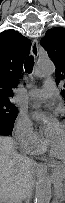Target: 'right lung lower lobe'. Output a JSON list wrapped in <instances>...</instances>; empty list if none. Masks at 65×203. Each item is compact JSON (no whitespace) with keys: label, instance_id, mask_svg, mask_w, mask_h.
Masks as SVG:
<instances>
[{"label":"right lung lower lobe","instance_id":"obj_1","mask_svg":"<svg viewBox=\"0 0 65 203\" xmlns=\"http://www.w3.org/2000/svg\"><path fill=\"white\" fill-rule=\"evenodd\" d=\"M12 133V131H7L6 129L0 127V135H10Z\"/></svg>","mask_w":65,"mask_h":203}]
</instances>
